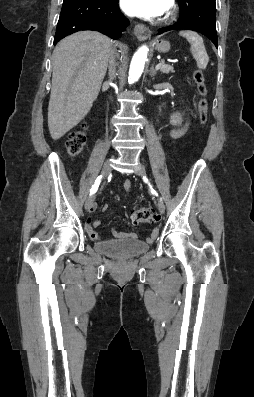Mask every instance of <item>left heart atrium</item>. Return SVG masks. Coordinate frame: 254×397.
<instances>
[{"instance_id":"1","label":"left heart atrium","mask_w":254,"mask_h":397,"mask_svg":"<svg viewBox=\"0 0 254 397\" xmlns=\"http://www.w3.org/2000/svg\"><path fill=\"white\" fill-rule=\"evenodd\" d=\"M171 0H121L123 10L131 16L155 19L170 8Z\"/></svg>"}]
</instances>
